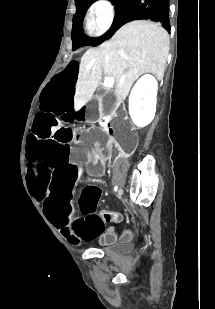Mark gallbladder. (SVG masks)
<instances>
[{
	"mask_svg": "<svg viewBox=\"0 0 215 309\" xmlns=\"http://www.w3.org/2000/svg\"><path fill=\"white\" fill-rule=\"evenodd\" d=\"M117 104V98L112 92H106L101 100V110L104 114H110Z\"/></svg>",
	"mask_w": 215,
	"mask_h": 309,
	"instance_id": "bac80fb5",
	"label": "gallbladder"
}]
</instances>
